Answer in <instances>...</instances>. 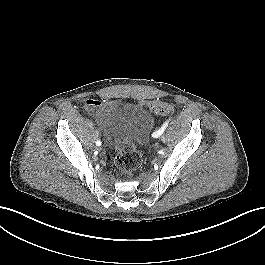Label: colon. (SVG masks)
Segmentation results:
<instances>
[{"mask_svg":"<svg viewBox=\"0 0 265 265\" xmlns=\"http://www.w3.org/2000/svg\"><path fill=\"white\" fill-rule=\"evenodd\" d=\"M143 105L159 115H167L172 111V106L168 103L144 102ZM142 161L143 156L135 145L129 143L116 148L115 165L124 173L132 175Z\"/></svg>","mask_w":265,"mask_h":265,"instance_id":"obj_1","label":"colon"}]
</instances>
